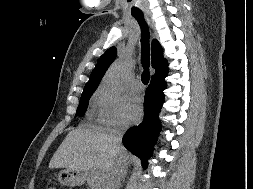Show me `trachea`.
I'll return each instance as SVG.
<instances>
[{
    "label": "trachea",
    "mask_w": 253,
    "mask_h": 189,
    "mask_svg": "<svg viewBox=\"0 0 253 189\" xmlns=\"http://www.w3.org/2000/svg\"><path fill=\"white\" fill-rule=\"evenodd\" d=\"M141 27V59L144 72L142 73L141 80L143 84L147 85L150 80L149 66H150V54H149V30L148 26L143 18L142 14H132Z\"/></svg>",
    "instance_id": "1"
}]
</instances>
